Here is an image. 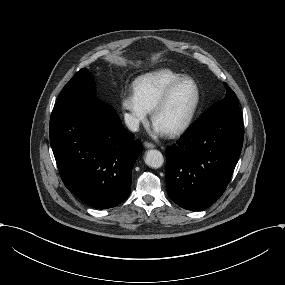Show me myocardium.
Wrapping results in <instances>:
<instances>
[{
	"instance_id": "1",
	"label": "myocardium",
	"mask_w": 285,
	"mask_h": 285,
	"mask_svg": "<svg viewBox=\"0 0 285 285\" xmlns=\"http://www.w3.org/2000/svg\"><path fill=\"white\" fill-rule=\"evenodd\" d=\"M185 82H192L195 85L196 91H197L196 100L188 116L179 125L167 131L169 134H172V135L181 133L184 130H186L192 123L200 107L201 100H202V91H201V87L199 83L197 82V80H195L192 77L187 76V77H183L180 80L176 81L165 91V93L162 95V97L160 98V100L157 102V104L154 106L152 110V118L155 121L158 112L168 104L170 98L172 97L176 89L182 84H184Z\"/></svg>"
}]
</instances>
